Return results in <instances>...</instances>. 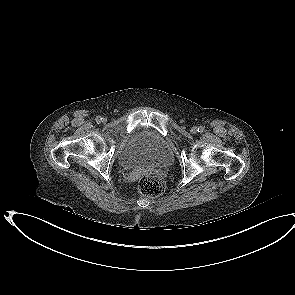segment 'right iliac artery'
Listing matches in <instances>:
<instances>
[{
	"instance_id": "1",
	"label": "right iliac artery",
	"mask_w": 295,
	"mask_h": 295,
	"mask_svg": "<svg viewBox=\"0 0 295 295\" xmlns=\"http://www.w3.org/2000/svg\"><path fill=\"white\" fill-rule=\"evenodd\" d=\"M101 121H102L101 116H97V117H96V122H97V123H98V122L100 123Z\"/></svg>"
}]
</instances>
